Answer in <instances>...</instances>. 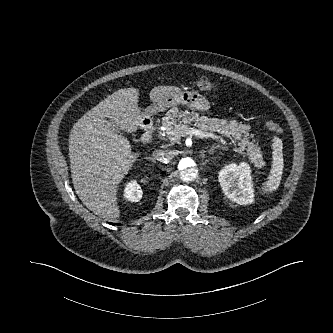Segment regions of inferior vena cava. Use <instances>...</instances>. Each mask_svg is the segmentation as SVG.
<instances>
[{"label": "inferior vena cava", "instance_id": "inferior-vena-cava-1", "mask_svg": "<svg viewBox=\"0 0 333 333\" xmlns=\"http://www.w3.org/2000/svg\"><path fill=\"white\" fill-rule=\"evenodd\" d=\"M152 156L159 162L167 163L173 159L174 152L170 150H156Z\"/></svg>", "mask_w": 333, "mask_h": 333}]
</instances>
